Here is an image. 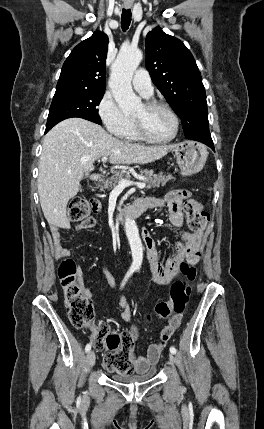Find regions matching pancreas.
Segmentation results:
<instances>
[{
	"label": "pancreas",
	"instance_id": "1",
	"mask_svg": "<svg viewBox=\"0 0 264 429\" xmlns=\"http://www.w3.org/2000/svg\"><path fill=\"white\" fill-rule=\"evenodd\" d=\"M142 173H144L143 176L145 177L144 182L148 184L147 189L165 186L169 180L174 179V177H172L170 174H153L152 171H144ZM123 177L129 180L130 172L124 170L118 171L110 178L100 180V184H97V188H99L100 190H111L113 187L116 186V184L119 183L120 179Z\"/></svg>",
	"mask_w": 264,
	"mask_h": 429
}]
</instances>
